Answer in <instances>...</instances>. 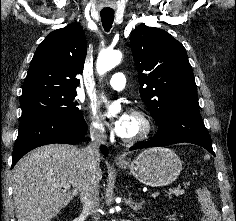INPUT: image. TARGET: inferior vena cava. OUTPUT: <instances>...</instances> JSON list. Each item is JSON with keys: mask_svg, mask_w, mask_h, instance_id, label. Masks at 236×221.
Instances as JSON below:
<instances>
[{"mask_svg": "<svg viewBox=\"0 0 236 221\" xmlns=\"http://www.w3.org/2000/svg\"><path fill=\"white\" fill-rule=\"evenodd\" d=\"M91 142L82 151L85 174L80 189V200L83 211L93 215L95 221H100L96 215L99 207V178L97 170L100 166V146L106 142L105 131L100 128H90Z\"/></svg>", "mask_w": 236, "mask_h": 221, "instance_id": "obj_1", "label": "inferior vena cava"}]
</instances>
